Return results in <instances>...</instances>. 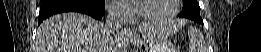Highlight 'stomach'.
Segmentation results:
<instances>
[{
    "label": "stomach",
    "instance_id": "stomach-1",
    "mask_svg": "<svg viewBox=\"0 0 261 52\" xmlns=\"http://www.w3.org/2000/svg\"><path fill=\"white\" fill-rule=\"evenodd\" d=\"M132 42L139 49V52H170L165 39L153 28L141 32V36H134Z\"/></svg>",
    "mask_w": 261,
    "mask_h": 52
}]
</instances>
